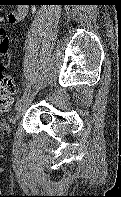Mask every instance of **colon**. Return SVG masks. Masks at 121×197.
Here are the masks:
<instances>
[{
    "label": "colon",
    "mask_w": 121,
    "mask_h": 197,
    "mask_svg": "<svg viewBox=\"0 0 121 197\" xmlns=\"http://www.w3.org/2000/svg\"><path fill=\"white\" fill-rule=\"evenodd\" d=\"M16 92V85L12 77L3 71L0 66V111H5L11 107Z\"/></svg>",
    "instance_id": "1"
}]
</instances>
